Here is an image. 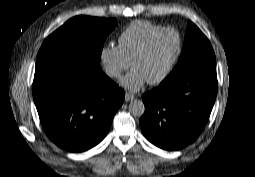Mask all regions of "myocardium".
Wrapping results in <instances>:
<instances>
[{"label":"myocardium","instance_id":"1","mask_svg":"<svg viewBox=\"0 0 255 177\" xmlns=\"http://www.w3.org/2000/svg\"><path fill=\"white\" fill-rule=\"evenodd\" d=\"M166 32H174L177 36L178 39V48L176 53L174 54V56L172 57V59L170 60V62L168 63L167 67L165 68V70L162 72V74H160L157 78L153 79V80H149L147 81L149 84L151 85H156V84H160L162 83L172 72L175 64L177 63V61L179 60L182 52H183V38L180 34V32L174 28V27H165L157 32H155L154 34H152L147 41L145 42V44L142 46V48L137 52V54L134 56V58L132 59V61L130 62V66L132 67L133 64L143 58L149 51L150 47L152 46V44L154 43V41L163 33Z\"/></svg>","mask_w":255,"mask_h":177}]
</instances>
